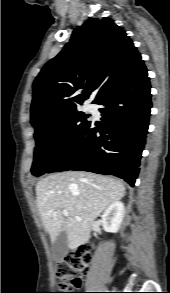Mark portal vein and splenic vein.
<instances>
[{
    "mask_svg": "<svg viewBox=\"0 0 170 293\" xmlns=\"http://www.w3.org/2000/svg\"><path fill=\"white\" fill-rule=\"evenodd\" d=\"M62 213H63L64 216H68L69 215V212L67 210H65V209L62 211ZM76 218L79 219V217H76Z\"/></svg>",
    "mask_w": 170,
    "mask_h": 293,
    "instance_id": "obj_1",
    "label": "portal vein and splenic vein"
}]
</instances>
